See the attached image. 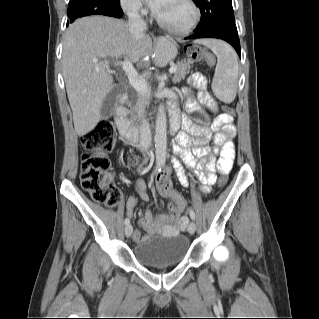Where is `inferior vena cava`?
I'll return each instance as SVG.
<instances>
[{
	"instance_id": "obj_1",
	"label": "inferior vena cava",
	"mask_w": 319,
	"mask_h": 319,
	"mask_svg": "<svg viewBox=\"0 0 319 319\" xmlns=\"http://www.w3.org/2000/svg\"><path fill=\"white\" fill-rule=\"evenodd\" d=\"M140 5H132L128 11V26L129 31L135 40H140L144 37V32L146 30V23L139 14ZM139 107V117L141 118L140 126V148L142 151H146L151 145V132L148 121L144 118L142 109V102L138 104Z\"/></svg>"
}]
</instances>
